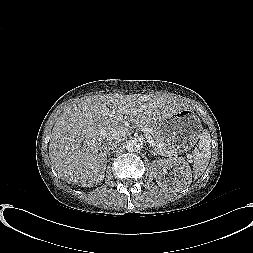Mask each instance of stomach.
<instances>
[{"label": "stomach", "instance_id": "1", "mask_svg": "<svg viewBox=\"0 0 253 253\" xmlns=\"http://www.w3.org/2000/svg\"><path fill=\"white\" fill-rule=\"evenodd\" d=\"M164 142L178 153L187 152L202 135L199 117L190 108H183L153 124Z\"/></svg>", "mask_w": 253, "mask_h": 253}]
</instances>
